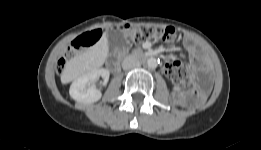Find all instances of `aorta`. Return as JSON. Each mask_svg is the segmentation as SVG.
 <instances>
[{"label":"aorta","instance_id":"762f6f07","mask_svg":"<svg viewBox=\"0 0 261 150\" xmlns=\"http://www.w3.org/2000/svg\"><path fill=\"white\" fill-rule=\"evenodd\" d=\"M147 66H148V68H150V69H155V68H157V66H158V61H157V59L154 58V57L149 58V59L147 60Z\"/></svg>","mask_w":261,"mask_h":150}]
</instances>
